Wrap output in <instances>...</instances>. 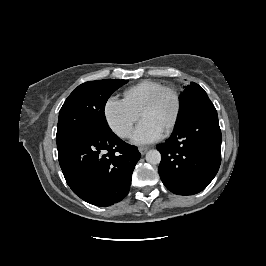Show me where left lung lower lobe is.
I'll use <instances>...</instances> for the list:
<instances>
[{"instance_id":"obj_1","label":"left lung lower lobe","mask_w":266,"mask_h":266,"mask_svg":"<svg viewBox=\"0 0 266 266\" xmlns=\"http://www.w3.org/2000/svg\"><path fill=\"white\" fill-rule=\"evenodd\" d=\"M221 130L218 115L210 102L197 108L180 124L165 143L159 175L168 190L178 195H193L205 189L221 163Z\"/></svg>"}]
</instances>
